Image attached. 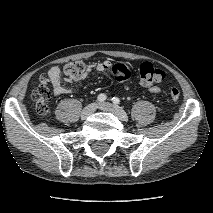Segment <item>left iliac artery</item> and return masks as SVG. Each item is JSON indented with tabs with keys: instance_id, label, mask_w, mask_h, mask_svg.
Segmentation results:
<instances>
[{
	"instance_id": "obj_1",
	"label": "left iliac artery",
	"mask_w": 213,
	"mask_h": 213,
	"mask_svg": "<svg viewBox=\"0 0 213 213\" xmlns=\"http://www.w3.org/2000/svg\"><path fill=\"white\" fill-rule=\"evenodd\" d=\"M112 102H113L114 104L118 105V104H120V99L117 98V97H113V98H112Z\"/></svg>"
}]
</instances>
